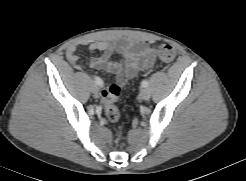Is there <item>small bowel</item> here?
<instances>
[{
	"label": "small bowel",
	"instance_id": "1",
	"mask_svg": "<svg viewBox=\"0 0 246 181\" xmlns=\"http://www.w3.org/2000/svg\"><path fill=\"white\" fill-rule=\"evenodd\" d=\"M82 46H86L88 51L92 53H100V56L90 59V66L93 69L114 74L119 85L126 84L139 71L149 70L154 66L151 47L146 43L124 40L115 43L94 41L88 44L75 43L68 47L67 58L77 70L82 68L78 54V49ZM114 53H118L123 57L122 62L111 59Z\"/></svg>",
	"mask_w": 246,
	"mask_h": 181
}]
</instances>
